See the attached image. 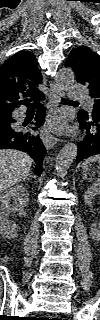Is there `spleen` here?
<instances>
[{"label": "spleen", "instance_id": "1", "mask_svg": "<svg viewBox=\"0 0 100 320\" xmlns=\"http://www.w3.org/2000/svg\"><path fill=\"white\" fill-rule=\"evenodd\" d=\"M100 160V157L98 155L96 156H93V157H89L88 159H86L84 162H83V176L84 178H87V175H86V172H85V169L87 167L88 164H90V162H98Z\"/></svg>", "mask_w": 100, "mask_h": 320}]
</instances>
